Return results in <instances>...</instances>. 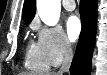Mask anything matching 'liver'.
Here are the masks:
<instances>
[{
  "instance_id": "liver-1",
  "label": "liver",
  "mask_w": 107,
  "mask_h": 75,
  "mask_svg": "<svg viewBox=\"0 0 107 75\" xmlns=\"http://www.w3.org/2000/svg\"><path fill=\"white\" fill-rule=\"evenodd\" d=\"M20 75H36V74L25 72V73H22ZM44 75H58V74H55V73H46Z\"/></svg>"
}]
</instances>
